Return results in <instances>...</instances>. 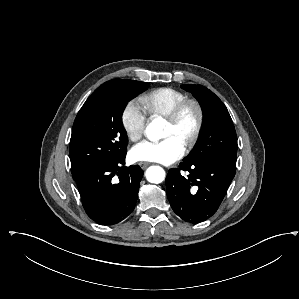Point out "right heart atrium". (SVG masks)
<instances>
[{
  "label": "right heart atrium",
  "instance_id": "obj_1",
  "mask_svg": "<svg viewBox=\"0 0 299 299\" xmlns=\"http://www.w3.org/2000/svg\"><path fill=\"white\" fill-rule=\"evenodd\" d=\"M121 126L131 141H136L144 134L147 115L139 101H128L120 116Z\"/></svg>",
  "mask_w": 299,
  "mask_h": 299
}]
</instances>
